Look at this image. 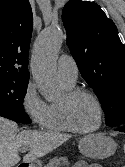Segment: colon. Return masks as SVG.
Masks as SVG:
<instances>
[{"instance_id": "1", "label": "colon", "mask_w": 125, "mask_h": 167, "mask_svg": "<svg viewBox=\"0 0 125 167\" xmlns=\"http://www.w3.org/2000/svg\"><path fill=\"white\" fill-rule=\"evenodd\" d=\"M124 152H125V146H124ZM122 167H125V165H124V166H122Z\"/></svg>"}]
</instances>
